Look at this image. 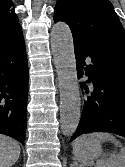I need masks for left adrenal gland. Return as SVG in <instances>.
Masks as SVG:
<instances>
[{"mask_svg":"<svg viewBox=\"0 0 125 167\" xmlns=\"http://www.w3.org/2000/svg\"><path fill=\"white\" fill-rule=\"evenodd\" d=\"M70 167H75V164H71V166Z\"/></svg>","mask_w":125,"mask_h":167,"instance_id":"a2214340","label":"left adrenal gland"}]
</instances>
